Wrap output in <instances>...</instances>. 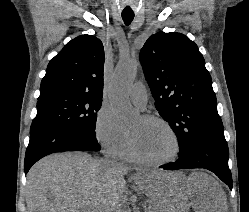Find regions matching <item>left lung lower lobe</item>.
Listing matches in <instances>:
<instances>
[{
  "instance_id": "0a47b994",
  "label": "left lung lower lobe",
  "mask_w": 249,
  "mask_h": 212,
  "mask_svg": "<svg viewBox=\"0 0 249 212\" xmlns=\"http://www.w3.org/2000/svg\"><path fill=\"white\" fill-rule=\"evenodd\" d=\"M228 157L229 150L224 133H212L195 139L187 150L179 154L177 161L162 165L160 168L169 170L208 169L232 189Z\"/></svg>"
}]
</instances>
